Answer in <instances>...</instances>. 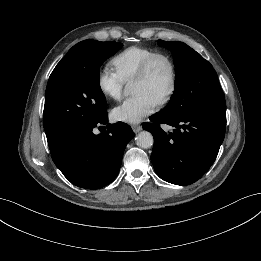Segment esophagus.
<instances>
[{
    "instance_id": "obj_1",
    "label": "esophagus",
    "mask_w": 261,
    "mask_h": 261,
    "mask_svg": "<svg viewBox=\"0 0 261 261\" xmlns=\"http://www.w3.org/2000/svg\"><path fill=\"white\" fill-rule=\"evenodd\" d=\"M132 129L135 133H138L142 130V126L140 125H132Z\"/></svg>"
}]
</instances>
